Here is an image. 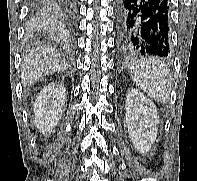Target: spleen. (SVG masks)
Instances as JSON below:
<instances>
[{"instance_id":"obj_1","label":"spleen","mask_w":197,"mask_h":181,"mask_svg":"<svg viewBox=\"0 0 197 181\" xmlns=\"http://www.w3.org/2000/svg\"><path fill=\"white\" fill-rule=\"evenodd\" d=\"M134 83L159 103H166L171 92L169 67L155 58L139 60L130 67Z\"/></svg>"}]
</instances>
